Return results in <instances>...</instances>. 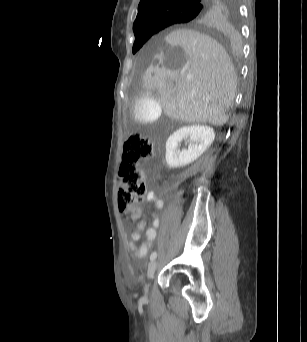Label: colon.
<instances>
[{"label": "colon", "mask_w": 307, "mask_h": 342, "mask_svg": "<svg viewBox=\"0 0 307 342\" xmlns=\"http://www.w3.org/2000/svg\"><path fill=\"white\" fill-rule=\"evenodd\" d=\"M153 151V143L141 135H134L124 143L117 198L125 217L139 215L138 207L146 191V180L138 162L150 159Z\"/></svg>", "instance_id": "5ec220e1"}]
</instances>
